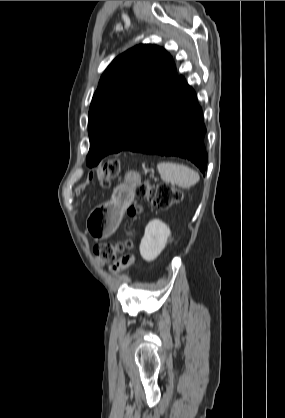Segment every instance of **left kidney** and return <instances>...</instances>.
Segmentation results:
<instances>
[{
    "label": "left kidney",
    "instance_id": "1",
    "mask_svg": "<svg viewBox=\"0 0 285 418\" xmlns=\"http://www.w3.org/2000/svg\"><path fill=\"white\" fill-rule=\"evenodd\" d=\"M171 232L159 219L151 220L145 227L139 250L142 258L148 262L155 260L167 244Z\"/></svg>",
    "mask_w": 285,
    "mask_h": 418
}]
</instances>
